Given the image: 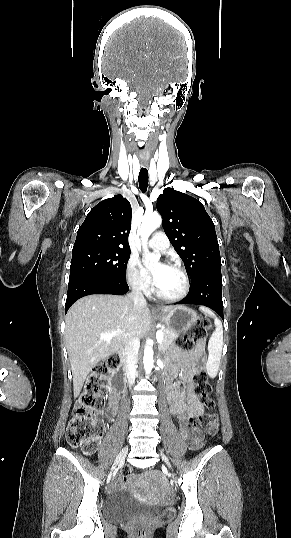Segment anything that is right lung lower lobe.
I'll return each instance as SVG.
<instances>
[{"label": "right lung lower lobe", "instance_id": "1", "mask_svg": "<svg viewBox=\"0 0 291 538\" xmlns=\"http://www.w3.org/2000/svg\"><path fill=\"white\" fill-rule=\"evenodd\" d=\"M126 280L98 276H78L69 280L65 312L79 298L91 294L123 295L128 292Z\"/></svg>", "mask_w": 291, "mask_h": 538}]
</instances>
